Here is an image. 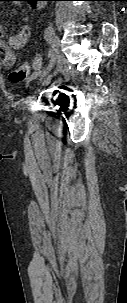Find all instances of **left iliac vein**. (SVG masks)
Returning a JSON list of instances; mask_svg holds the SVG:
<instances>
[{
  "label": "left iliac vein",
  "instance_id": "obj_1",
  "mask_svg": "<svg viewBox=\"0 0 127 303\" xmlns=\"http://www.w3.org/2000/svg\"><path fill=\"white\" fill-rule=\"evenodd\" d=\"M50 45L54 54V58L56 59L57 63L62 62V54L59 49V38L57 35H54L50 40ZM41 78V84L42 85H48L50 83V75Z\"/></svg>",
  "mask_w": 127,
  "mask_h": 303
}]
</instances>
